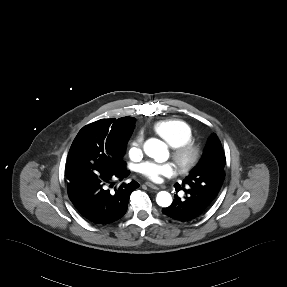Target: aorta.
<instances>
[{
	"label": "aorta",
	"mask_w": 287,
	"mask_h": 287,
	"mask_svg": "<svg viewBox=\"0 0 287 287\" xmlns=\"http://www.w3.org/2000/svg\"><path fill=\"white\" fill-rule=\"evenodd\" d=\"M145 153L157 162H164L168 158L167 146L161 140L151 138L144 144ZM156 202L161 207H168L172 203V197L167 191H160L157 194Z\"/></svg>",
	"instance_id": "obj_1"
}]
</instances>
